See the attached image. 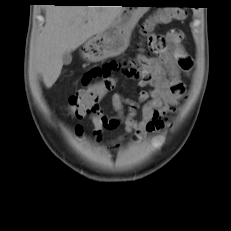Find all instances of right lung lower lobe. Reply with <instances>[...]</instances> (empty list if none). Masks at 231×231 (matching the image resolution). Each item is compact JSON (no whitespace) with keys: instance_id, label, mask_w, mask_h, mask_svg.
<instances>
[{"instance_id":"98d812e1","label":"right lung lower lobe","mask_w":231,"mask_h":231,"mask_svg":"<svg viewBox=\"0 0 231 231\" xmlns=\"http://www.w3.org/2000/svg\"><path fill=\"white\" fill-rule=\"evenodd\" d=\"M43 2H52L57 5H76L75 0H43Z\"/></svg>"}]
</instances>
